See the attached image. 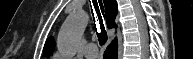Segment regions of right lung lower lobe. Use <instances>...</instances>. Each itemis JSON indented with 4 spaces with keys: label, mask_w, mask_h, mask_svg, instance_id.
<instances>
[{
    "label": "right lung lower lobe",
    "mask_w": 193,
    "mask_h": 59,
    "mask_svg": "<svg viewBox=\"0 0 193 59\" xmlns=\"http://www.w3.org/2000/svg\"><path fill=\"white\" fill-rule=\"evenodd\" d=\"M104 59H117V42L114 41L112 44H110L105 53H104Z\"/></svg>",
    "instance_id": "1"
}]
</instances>
